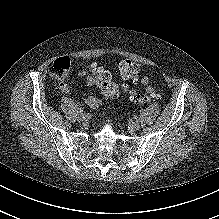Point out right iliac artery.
I'll return each mask as SVG.
<instances>
[{
	"mask_svg": "<svg viewBox=\"0 0 219 219\" xmlns=\"http://www.w3.org/2000/svg\"><path fill=\"white\" fill-rule=\"evenodd\" d=\"M84 110L82 108L79 109V113H83Z\"/></svg>",
	"mask_w": 219,
	"mask_h": 219,
	"instance_id": "1",
	"label": "right iliac artery"
}]
</instances>
